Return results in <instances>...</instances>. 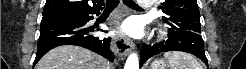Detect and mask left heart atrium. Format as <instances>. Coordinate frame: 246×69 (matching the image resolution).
Instances as JSON below:
<instances>
[{
    "label": "left heart atrium",
    "instance_id": "left-heart-atrium-1",
    "mask_svg": "<svg viewBox=\"0 0 246 69\" xmlns=\"http://www.w3.org/2000/svg\"><path fill=\"white\" fill-rule=\"evenodd\" d=\"M121 31L127 32L131 35H141V33L143 32L142 26L139 23L138 20H136L135 18L131 17L129 19H127L120 27Z\"/></svg>",
    "mask_w": 246,
    "mask_h": 69
}]
</instances>
